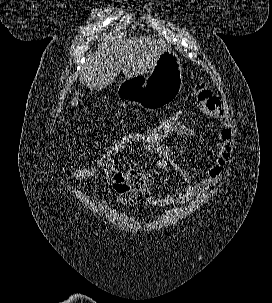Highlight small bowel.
<instances>
[{
	"mask_svg": "<svg viewBox=\"0 0 272 303\" xmlns=\"http://www.w3.org/2000/svg\"><path fill=\"white\" fill-rule=\"evenodd\" d=\"M193 97L201 111L217 123V139L214 144L215 152L212 165L204 171L198 182L193 183L188 170L173 160L171 151L166 144L138 149L141 152L156 155L158 158L157 168L161 170L174 168L185 183V189L180 193L170 192L165 195H148L146 201L153 206L167 207L171 204H186L194 197L202 195L207 189L215 186L220 181L223 168L230 159L231 129L222 100L204 85L195 87ZM194 135V129L188 126L178 132L176 136L193 137ZM146 175L149 174L139 169H132L127 172H121L116 169L114 172L106 173L103 176L111 181L113 189L118 196H124L140 188Z\"/></svg>",
	"mask_w": 272,
	"mask_h": 303,
	"instance_id": "small-bowel-1",
	"label": "small bowel"
}]
</instances>
